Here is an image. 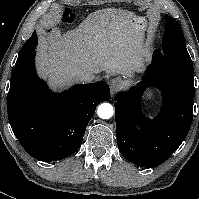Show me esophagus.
I'll list each match as a JSON object with an SVG mask.
<instances>
[{
  "label": "esophagus",
  "instance_id": "34e87169",
  "mask_svg": "<svg viewBox=\"0 0 199 199\" xmlns=\"http://www.w3.org/2000/svg\"><path fill=\"white\" fill-rule=\"evenodd\" d=\"M109 85H110L111 97H113L114 94L117 92V90L120 88L121 81L118 78H114L109 81Z\"/></svg>",
  "mask_w": 199,
  "mask_h": 199
}]
</instances>
